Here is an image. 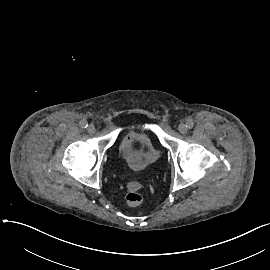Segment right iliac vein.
<instances>
[{"label":"right iliac vein","instance_id":"1","mask_svg":"<svg viewBox=\"0 0 270 270\" xmlns=\"http://www.w3.org/2000/svg\"><path fill=\"white\" fill-rule=\"evenodd\" d=\"M87 131L92 134L95 132V126L93 124H90L88 127H87Z\"/></svg>","mask_w":270,"mask_h":270}]
</instances>
